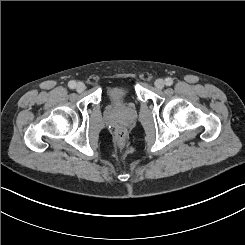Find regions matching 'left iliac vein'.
<instances>
[{"instance_id":"1","label":"left iliac vein","mask_w":245,"mask_h":245,"mask_svg":"<svg viewBox=\"0 0 245 245\" xmlns=\"http://www.w3.org/2000/svg\"><path fill=\"white\" fill-rule=\"evenodd\" d=\"M164 81L162 79H157L155 81V87L158 89H162L164 87Z\"/></svg>"}]
</instances>
